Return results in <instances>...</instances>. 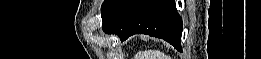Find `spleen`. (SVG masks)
Wrapping results in <instances>:
<instances>
[{
    "label": "spleen",
    "mask_w": 261,
    "mask_h": 59,
    "mask_svg": "<svg viewBox=\"0 0 261 59\" xmlns=\"http://www.w3.org/2000/svg\"><path fill=\"white\" fill-rule=\"evenodd\" d=\"M147 59H169L168 56H166L163 52L157 50V51H148L147 53Z\"/></svg>",
    "instance_id": "obj_1"
}]
</instances>
